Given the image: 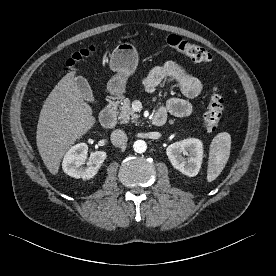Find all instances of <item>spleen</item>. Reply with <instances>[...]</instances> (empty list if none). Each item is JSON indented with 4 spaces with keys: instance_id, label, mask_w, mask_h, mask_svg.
<instances>
[{
    "instance_id": "3e777b00",
    "label": "spleen",
    "mask_w": 276,
    "mask_h": 276,
    "mask_svg": "<svg viewBox=\"0 0 276 276\" xmlns=\"http://www.w3.org/2000/svg\"><path fill=\"white\" fill-rule=\"evenodd\" d=\"M231 148V136L227 132L217 134L210 145L207 168V181H214L223 171Z\"/></svg>"
}]
</instances>
